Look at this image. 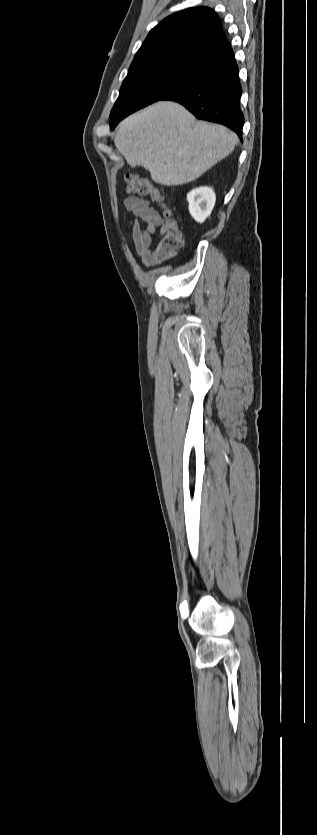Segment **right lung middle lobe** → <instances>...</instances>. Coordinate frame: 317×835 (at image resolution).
I'll return each instance as SVG.
<instances>
[{
	"label": "right lung middle lobe",
	"mask_w": 317,
	"mask_h": 835,
	"mask_svg": "<svg viewBox=\"0 0 317 835\" xmlns=\"http://www.w3.org/2000/svg\"><path fill=\"white\" fill-rule=\"evenodd\" d=\"M206 78L193 58L156 64L128 73L110 113V128L129 114Z\"/></svg>",
	"instance_id": "right-lung-middle-lobe-1"
}]
</instances>
